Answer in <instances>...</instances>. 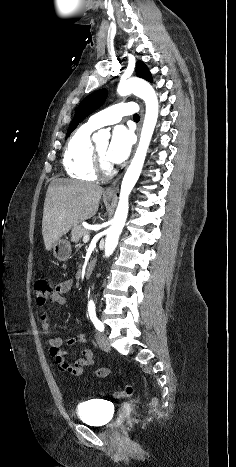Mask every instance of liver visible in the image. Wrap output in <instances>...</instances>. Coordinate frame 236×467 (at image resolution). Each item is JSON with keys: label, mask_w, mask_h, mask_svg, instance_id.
Instances as JSON below:
<instances>
[{"label": "liver", "mask_w": 236, "mask_h": 467, "mask_svg": "<svg viewBox=\"0 0 236 467\" xmlns=\"http://www.w3.org/2000/svg\"><path fill=\"white\" fill-rule=\"evenodd\" d=\"M103 188L85 182L53 180L47 190L42 235L46 250L80 222L92 218L99 207Z\"/></svg>", "instance_id": "obj_1"}]
</instances>
